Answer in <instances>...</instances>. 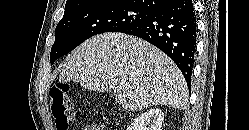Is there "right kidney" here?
<instances>
[{"label": "right kidney", "mask_w": 249, "mask_h": 130, "mask_svg": "<svg viewBox=\"0 0 249 130\" xmlns=\"http://www.w3.org/2000/svg\"><path fill=\"white\" fill-rule=\"evenodd\" d=\"M163 117L161 109H150L136 117L128 130H161Z\"/></svg>", "instance_id": "right-kidney-1"}]
</instances>
